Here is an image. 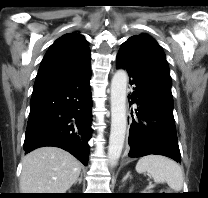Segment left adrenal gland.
<instances>
[{
	"mask_svg": "<svg viewBox=\"0 0 208 198\" xmlns=\"http://www.w3.org/2000/svg\"><path fill=\"white\" fill-rule=\"evenodd\" d=\"M128 178H132V176L130 175V171H128L127 174L123 177L122 182H125Z\"/></svg>",
	"mask_w": 208,
	"mask_h": 198,
	"instance_id": "1",
	"label": "left adrenal gland"
}]
</instances>
